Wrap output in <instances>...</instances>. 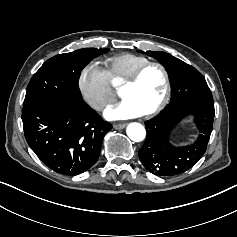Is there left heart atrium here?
<instances>
[{
	"label": "left heart atrium",
	"instance_id": "1",
	"mask_svg": "<svg viewBox=\"0 0 237 237\" xmlns=\"http://www.w3.org/2000/svg\"><path fill=\"white\" fill-rule=\"evenodd\" d=\"M142 113L130 102L123 100L116 106L105 110L104 116L109 121L125 120L141 116Z\"/></svg>",
	"mask_w": 237,
	"mask_h": 237
}]
</instances>
